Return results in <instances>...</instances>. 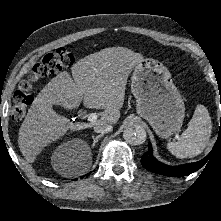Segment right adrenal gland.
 <instances>
[{"mask_svg":"<svg viewBox=\"0 0 221 221\" xmlns=\"http://www.w3.org/2000/svg\"><path fill=\"white\" fill-rule=\"evenodd\" d=\"M101 137H103V134L97 135L96 137L92 136V139H93L92 147H94V146L98 143V140H99Z\"/></svg>","mask_w":221,"mask_h":221,"instance_id":"1","label":"right adrenal gland"}]
</instances>
